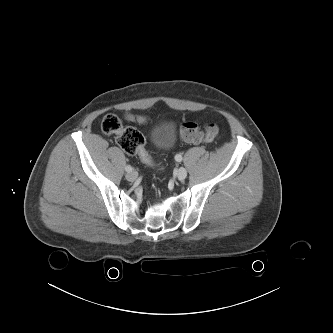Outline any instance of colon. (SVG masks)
<instances>
[{
	"label": "colon",
	"instance_id": "5ec220e1",
	"mask_svg": "<svg viewBox=\"0 0 333 333\" xmlns=\"http://www.w3.org/2000/svg\"><path fill=\"white\" fill-rule=\"evenodd\" d=\"M130 119L142 122L144 118L131 116ZM101 129L106 135H114L117 144L130 155H137L146 165H153L152 158L145 149L143 134L134 127L122 126L121 120L115 114H107L101 122ZM219 128L215 123H209L201 129L193 122H185L180 127V136L189 143L211 141L218 136Z\"/></svg>",
	"mask_w": 333,
	"mask_h": 333
}]
</instances>
